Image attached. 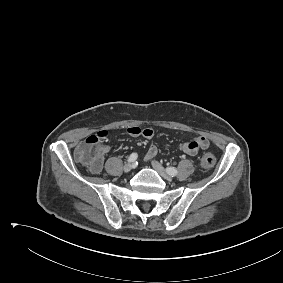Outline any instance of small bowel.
Instances as JSON below:
<instances>
[{
    "mask_svg": "<svg viewBox=\"0 0 283 283\" xmlns=\"http://www.w3.org/2000/svg\"><path fill=\"white\" fill-rule=\"evenodd\" d=\"M127 134L130 135L131 137L143 136L145 138H151L154 135V131L150 128L141 129L136 126H132L127 128ZM208 146H209V140L204 136H199L192 140L182 143L180 145V148L188 155L194 156L198 153L200 149H206L208 148ZM108 150H109L108 146H102V154L106 153ZM157 151H158L157 147L155 145H151L147 151L145 159L150 160L154 158L157 154Z\"/></svg>",
    "mask_w": 283,
    "mask_h": 283,
    "instance_id": "small-bowel-1",
    "label": "small bowel"
}]
</instances>
